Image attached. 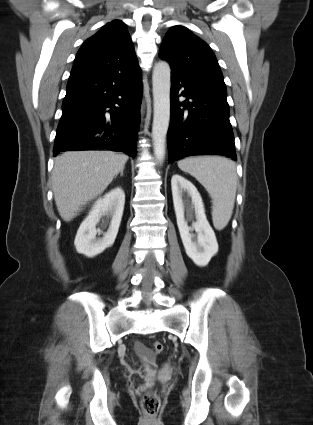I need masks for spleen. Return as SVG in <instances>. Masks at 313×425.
I'll list each match as a JSON object with an SVG mask.
<instances>
[{
  "label": "spleen",
  "instance_id": "1",
  "mask_svg": "<svg viewBox=\"0 0 313 425\" xmlns=\"http://www.w3.org/2000/svg\"><path fill=\"white\" fill-rule=\"evenodd\" d=\"M178 167L195 177L212 198V220L217 230L225 228L232 216L237 174L233 161L220 156L188 157Z\"/></svg>",
  "mask_w": 313,
  "mask_h": 425
}]
</instances>
